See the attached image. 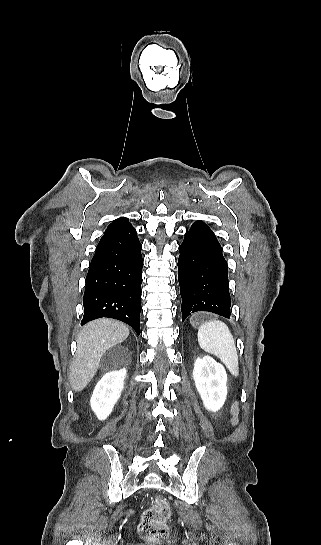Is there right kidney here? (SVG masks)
Masks as SVG:
<instances>
[{
	"instance_id": "right-kidney-1",
	"label": "right kidney",
	"mask_w": 321,
	"mask_h": 545,
	"mask_svg": "<svg viewBox=\"0 0 321 545\" xmlns=\"http://www.w3.org/2000/svg\"><path fill=\"white\" fill-rule=\"evenodd\" d=\"M125 377L126 370L110 371L97 383L90 405L100 421H104L112 413L114 405H116L121 391L124 389Z\"/></svg>"
}]
</instances>
